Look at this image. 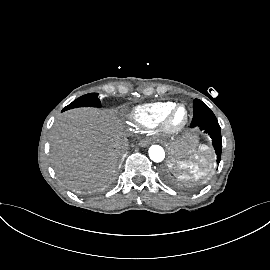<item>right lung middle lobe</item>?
<instances>
[{
	"mask_svg": "<svg viewBox=\"0 0 270 270\" xmlns=\"http://www.w3.org/2000/svg\"><path fill=\"white\" fill-rule=\"evenodd\" d=\"M100 107V101L98 100V93H89L74 100L63 111L76 108V107Z\"/></svg>",
	"mask_w": 270,
	"mask_h": 270,
	"instance_id": "obj_1",
	"label": "right lung middle lobe"
}]
</instances>
